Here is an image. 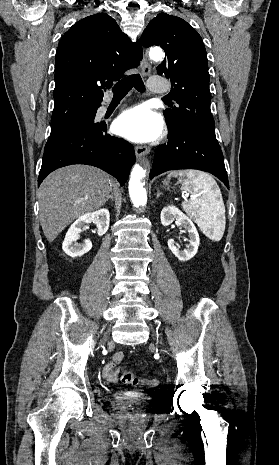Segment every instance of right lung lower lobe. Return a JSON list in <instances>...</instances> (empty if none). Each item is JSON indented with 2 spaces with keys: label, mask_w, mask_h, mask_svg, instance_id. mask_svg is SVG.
<instances>
[{
  "label": "right lung lower lobe",
  "mask_w": 279,
  "mask_h": 465,
  "mask_svg": "<svg viewBox=\"0 0 279 465\" xmlns=\"http://www.w3.org/2000/svg\"><path fill=\"white\" fill-rule=\"evenodd\" d=\"M99 106L89 112L95 115ZM135 160L133 146L122 138L108 135L106 123H88L83 130L70 135L44 153L38 185L57 168L71 164H88L116 177L122 186L127 181Z\"/></svg>",
  "instance_id": "right-lung-lower-lobe-1"
}]
</instances>
